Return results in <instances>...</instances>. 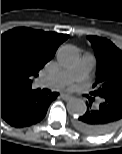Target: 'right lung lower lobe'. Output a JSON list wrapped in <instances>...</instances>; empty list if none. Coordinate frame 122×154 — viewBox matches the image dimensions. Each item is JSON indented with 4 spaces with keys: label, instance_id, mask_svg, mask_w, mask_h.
Listing matches in <instances>:
<instances>
[{
    "label": "right lung lower lobe",
    "instance_id": "obj_1",
    "mask_svg": "<svg viewBox=\"0 0 122 154\" xmlns=\"http://www.w3.org/2000/svg\"><path fill=\"white\" fill-rule=\"evenodd\" d=\"M58 93L44 95L39 89L23 94L1 110V118L13 127H26L41 121Z\"/></svg>",
    "mask_w": 122,
    "mask_h": 154
}]
</instances>
